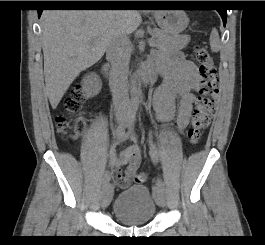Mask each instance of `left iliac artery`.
<instances>
[{"label": "left iliac artery", "instance_id": "obj_1", "mask_svg": "<svg viewBox=\"0 0 265 245\" xmlns=\"http://www.w3.org/2000/svg\"><path fill=\"white\" fill-rule=\"evenodd\" d=\"M149 145H150L149 154L152 160L155 161L157 159V151H156L155 145L153 143H149ZM160 189H164V182L161 179H158L156 182V185L153 187V193L155 194Z\"/></svg>", "mask_w": 265, "mask_h": 245}]
</instances>
